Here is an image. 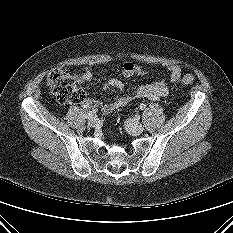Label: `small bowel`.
I'll return each mask as SVG.
<instances>
[{"label":"small bowel","instance_id":"c3829d8e","mask_svg":"<svg viewBox=\"0 0 233 233\" xmlns=\"http://www.w3.org/2000/svg\"><path fill=\"white\" fill-rule=\"evenodd\" d=\"M144 73L143 69L133 61H126L123 64L122 75L126 78L132 76H139ZM168 73L172 81H177L182 75L180 66L173 65L168 68ZM94 73L92 70L87 69L82 74L77 76V82L83 84L93 78ZM110 88L122 91L124 84L117 78L108 80L103 85V90L106 91ZM169 94V89L164 80L155 81L152 83L139 85L131 94L124 95L116 99L112 103L103 104L95 98H87L84 105L89 108H98L104 113H110L115 109L127 106L132 100L139 98H147L152 101H158Z\"/></svg>","mask_w":233,"mask_h":233}]
</instances>
